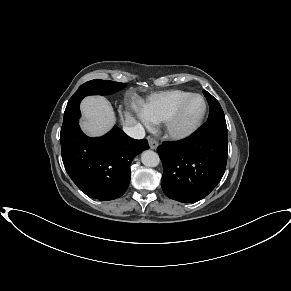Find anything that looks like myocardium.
Listing matches in <instances>:
<instances>
[{
    "instance_id": "obj_1",
    "label": "myocardium",
    "mask_w": 291,
    "mask_h": 291,
    "mask_svg": "<svg viewBox=\"0 0 291 291\" xmlns=\"http://www.w3.org/2000/svg\"><path fill=\"white\" fill-rule=\"evenodd\" d=\"M196 97L200 98L203 102V109L200 116L192 125L185 128L179 127V121L185 108L187 107L189 102ZM207 109H208L207 101L201 94L193 93L189 95L165 121L166 136L173 140H184L186 138L191 137L203 125V122L207 114Z\"/></svg>"
}]
</instances>
